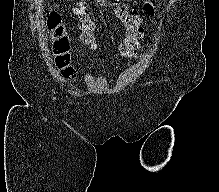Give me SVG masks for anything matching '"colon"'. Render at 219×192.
<instances>
[{"mask_svg":"<svg viewBox=\"0 0 219 192\" xmlns=\"http://www.w3.org/2000/svg\"><path fill=\"white\" fill-rule=\"evenodd\" d=\"M89 15V14H88ZM49 36L51 38V48L57 69L62 77L72 79L75 76V68L71 58V37L60 14L50 12L46 18ZM86 30L94 27L89 18L83 23ZM138 38L135 36L126 37L119 46V51L123 56L133 58L137 56Z\"/></svg>","mask_w":219,"mask_h":192,"instance_id":"5ec220e1","label":"colon"}]
</instances>
